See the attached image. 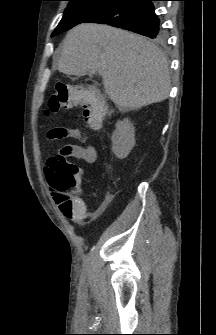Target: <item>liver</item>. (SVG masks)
I'll use <instances>...</instances> for the list:
<instances>
[{
  "label": "liver",
  "instance_id": "liver-1",
  "mask_svg": "<svg viewBox=\"0 0 216 335\" xmlns=\"http://www.w3.org/2000/svg\"><path fill=\"white\" fill-rule=\"evenodd\" d=\"M57 69L66 75L97 72L106 94L120 110L164 101L170 91L169 64L140 35L104 24L83 23L63 40Z\"/></svg>",
  "mask_w": 216,
  "mask_h": 335
}]
</instances>
